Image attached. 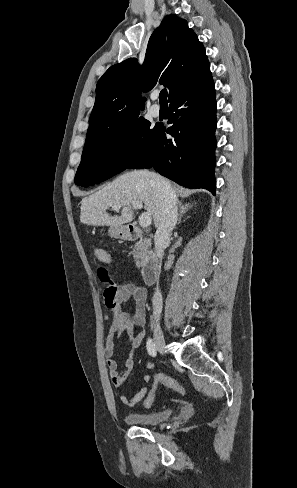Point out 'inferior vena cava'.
Listing matches in <instances>:
<instances>
[{
    "mask_svg": "<svg viewBox=\"0 0 297 488\" xmlns=\"http://www.w3.org/2000/svg\"><path fill=\"white\" fill-rule=\"evenodd\" d=\"M155 180L161 197L162 210L160 222L155 233L154 242L156 257L159 260H162L164 256V249L169 242L171 232L178 220V211L176 206L177 199L173 189L168 182H166L159 176H156ZM152 303L153 316L160 317L163 308V300L158 287L156 288L153 295Z\"/></svg>",
    "mask_w": 297,
    "mask_h": 488,
    "instance_id": "inferior-vena-cava-1",
    "label": "inferior vena cava"
}]
</instances>
